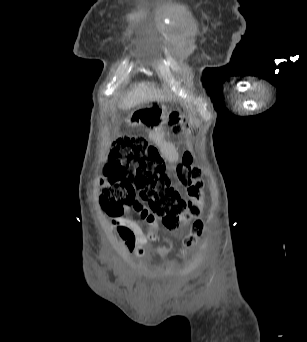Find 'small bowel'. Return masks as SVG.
I'll use <instances>...</instances> for the list:
<instances>
[{
  "label": "small bowel",
  "instance_id": "1",
  "mask_svg": "<svg viewBox=\"0 0 307 342\" xmlns=\"http://www.w3.org/2000/svg\"><path fill=\"white\" fill-rule=\"evenodd\" d=\"M169 156L175 158L176 153L171 150ZM142 218L149 225L147 229H144L139 221L131 218L116 217L113 220L114 229L122 239L128 255L143 257L146 255L149 245L160 239V228L155 218L149 213L144 214Z\"/></svg>",
  "mask_w": 307,
  "mask_h": 342
}]
</instances>
